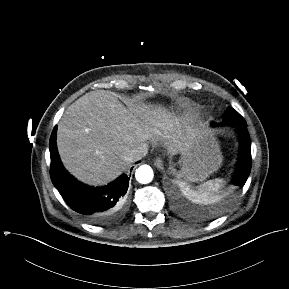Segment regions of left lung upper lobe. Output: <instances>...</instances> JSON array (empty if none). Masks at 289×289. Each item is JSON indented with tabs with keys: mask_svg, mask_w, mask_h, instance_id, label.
Returning a JSON list of instances; mask_svg holds the SVG:
<instances>
[{
	"mask_svg": "<svg viewBox=\"0 0 289 289\" xmlns=\"http://www.w3.org/2000/svg\"><path fill=\"white\" fill-rule=\"evenodd\" d=\"M224 123L230 125H247L243 117L233 108L227 109L224 114Z\"/></svg>",
	"mask_w": 289,
	"mask_h": 289,
	"instance_id": "obj_1",
	"label": "left lung upper lobe"
}]
</instances>
